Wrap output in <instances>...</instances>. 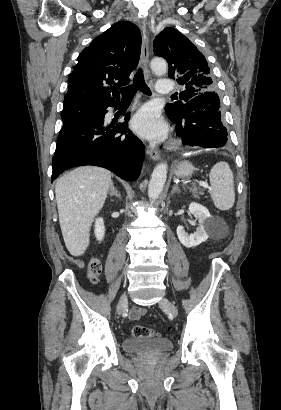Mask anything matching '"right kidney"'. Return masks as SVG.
<instances>
[{"label": "right kidney", "mask_w": 281, "mask_h": 410, "mask_svg": "<svg viewBox=\"0 0 281 410\" xmlns=\"http://www.w3.org/2000/svg\"><path fill=\"white\" fill-rule=\"evenodd\" d=\"M94 233L98 241L103 240L105 234V226L102 218L96 219Z\"/></svg>", "instance_id": "right-kidney-1"}]
</instances>
